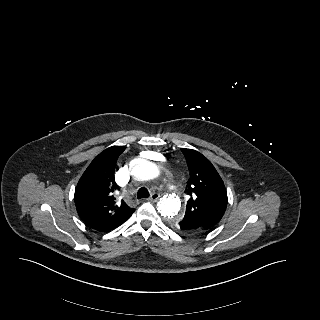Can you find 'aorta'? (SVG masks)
I'll return each instance as SVG.
<instances>
[{"label":"aorta","mask_w":320,"mask_h":320,"mask_svg":"<svg viewBox=\"0 0 320 320\" xmlns=\"http://www.w3.org/2000/svg\"><path fill=\"white\" fill-rule=\"evenodd\" d=\"M155 155L156 153H150L147 158H135L130 162V171L136 180L148 181L160 175V169L150 160ZM180 207L179 197L173 194L164 196L157 204L158 212L168 220H174L177 217Z\"/></svg>","instance_id":"obj_1"}]
</instances>
